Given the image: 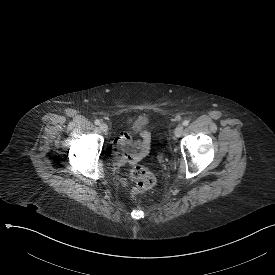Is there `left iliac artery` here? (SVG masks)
Wrapping results in <instances>:
<instances>
[{"instance_id": "1", "label": "left iliac artery", "mask_w": 275, "mask_h": 275, "mask_svg": "<svg viewBox=\"0 0 275 275\" xmlns=\"http://www.w3.org/2000/svg\"><path fill=\"white\" fill-rule=\"evenodd\" d=\"M183 125H184V126H188V125H189V121H188V120H184V121H183Z\"/></svg>"}]
</instances>
